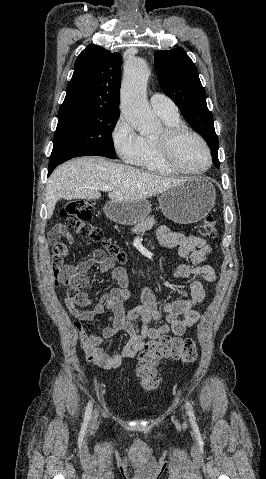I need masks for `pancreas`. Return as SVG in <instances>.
I'll list each match as a JSON object with an SVG mask.
<instances>
[{
	"label": "pancreas",
	"instance_id": "pancreas-1",
	"mask_svg": "<svg viewBox=\"0 0 266 479\" xmlns=\"http://www.w3.org/2000/svg\"><path fill=\"white\" fill-rule=\"evenodd\" d=\"M155 223L156 222L153 216L146 217L145 219L135 224L134 228L132 229V232H144L145 230L151 229Z\"/></svg>",
	"mask_w": 266,
	"mask_h": 479
}]
</instances>
